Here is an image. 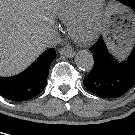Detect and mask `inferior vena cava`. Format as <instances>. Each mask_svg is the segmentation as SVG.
Listing matches in <instances>:
<instances>
[{
    "mask_svg": "<svg viewBox=\"0 0 135 135\" xmlns=\"http://www.w3.org/2000/svg\"><path fill=\"white\" fill-rule=\"evenodd\" d=\"M61 42L60 34L55 31L51 30L47 32L42 39V44L44 47L47 48H54Z\"/></svg>",
    "mask_w": 135,
    "mask_h": 135,
    "instance_id": "obj_1",
    "label": "inferior vena cava"
}]
</instances>
